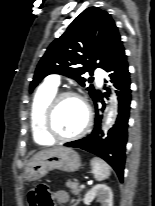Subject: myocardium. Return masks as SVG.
I'll use <instances>...</instances> for the list:
<instances>
[{"label":"myocardium","mask_w":155,"mask_h":206,"mask_svg":"<svg viewBox=\"0 0 155 206\" xmlns=\"http://www.w3.org/2000/svg\"><path fill=\"white\" fill-rule=\"evenodd\" d=\"M69 97L75 98L82 103L85 109L86 118L83 127L78 132L68 136H63L58 134L57 131L55 130L53 125V119H54L55 110L59 102L64 98H69ZM92 119H93L92 110L88 102L85 100V98H83L80 94L74 91H61L53 96V98L49 101L45 109L43 115L44 130L46 134L53 140L70 141L84 136L89 131L92 125Z\"/></svg>","instance_id":"1"}]
</instances>
